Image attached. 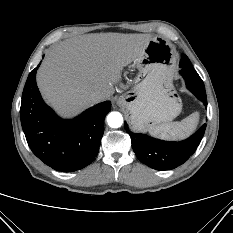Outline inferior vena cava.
Wrapping results in <instances>:
<instances>
[{
    "label": "inferior vena cava",
    "instance_id": "602c4592",
    "mask_svg": "<svg viewBox=\"0 0 233 233\" xmlns=\"http://www.w3.org/2000/svg\"><path fill=\"white\" fill-rule=\"evenodd\" d=\"M93 101L100 102L106 99V95L102 92H97L92 97Z\"/></svg>",
    "mask_w": 233,
    "mask_h": 233
}]
</instances>
